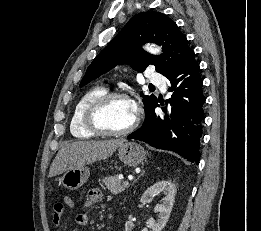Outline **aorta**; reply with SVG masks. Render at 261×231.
Instances as JSON below:
<instances>
[{
    "instance_id": "762f6f07",
    "label": "aorta",
    "mask_w": 261,
    "mask_h": 231,
    "mask_svg": "<svg viewBox=\"0 0 261 231\" xmlns=\"http://www.w3.org/2000/svg\"><path fill=\"white\" fill-rule=\"evenodd\" d=\"M145 49L150 52L151 54H155V55H158L161 53V50L159 47L157 46H154V45H146L145 46Z\"/></svg>"
}]
</instances>
